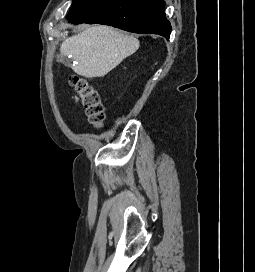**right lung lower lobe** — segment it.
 <instances>
[{
    "label": "right lung lower lobe",
    "mask_w": 255,
    "mask_h": 272,
    "mask_svg": "<svg viewBox=\"0 0 255 272\" xmlns=\"http://www.w3.org/2000/svg\"><path fill=\"white\" fill-rule=\"evenodd\" d=\"M163 0H90L79 8L69 23H98L134 33L158 34L167 40L171 25Z\"/></svg>",
    "instance_id": "obj_1"
}]
</instances>
